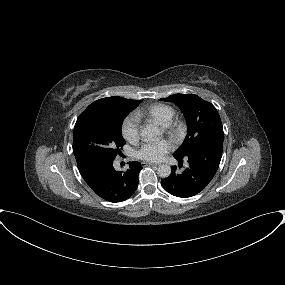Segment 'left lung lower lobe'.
Segmentation results:
<instances>
[{"mask_svg": "<svg viewBox=\"0 0 285 285\" xmlns=\"http://www.w3.org/2000/svg\"><path fill=\"white\" fill-rule=\"evenodd\" d=\"M223 142H214L194 149L184 157L174 155L179 161L187 159L189 167L182 173L172 167L169 177L161 181L163 188L170 194L188 198L200 193L214 177L222 157Z\"/></svg>", "mask_w": 285, "mask_h": 285, "instance_id": "1", "label": "left lung lower lobe"}]
</instances>
